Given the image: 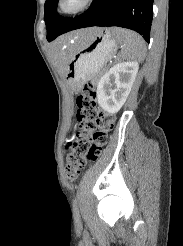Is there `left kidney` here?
<instances>
[{"instance_id": "left-kidney-1", "label": "left kidney", "mask_w": 183, "mask_h": 246, "mask_svg": "<svg viewBox=\"0 0 183 246\" xmlns=\"http://www.w3.org/2000/svg\"><path fill=\"white\" fill-rule=\"evenodd\" d=\"M137 61L119 62L110 68L97 85V99L109 114L117 113L124 105L138 73Z\"/></svg>"}]
</instances>
